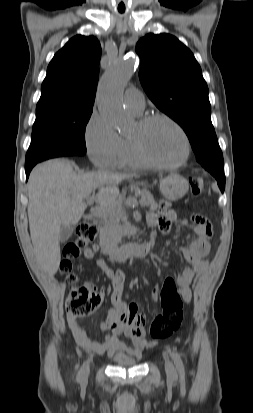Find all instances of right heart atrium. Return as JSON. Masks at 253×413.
I'll return each mask as SVG.
<instances>
[{"mask_svg":"<svg viewBox=\"0 0 253 413\" xmlns=\"http://www.w3.org/2000/svg\"><path fill=\"white\" fill-rule=\"evenodd\" d=\"M84 136L91 162L102 169L113 167L122 148V138L108 120L100 113L93 112Z\"/></svg>","mask_w":253,"mask_h":413,"instance_id":"obj_1","label":"right heart atrium"}]
</instances>
